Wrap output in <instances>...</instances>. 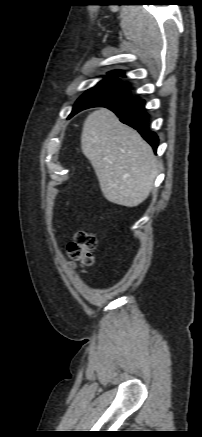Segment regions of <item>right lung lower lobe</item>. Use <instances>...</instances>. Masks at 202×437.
I'll return each mask as SVG.
<instances>
[{"label":"right lung lower lobe","mask_w":202,"mask_h":437,"mask_svg":"<svg viewBox=\"0 0 202 437\" xmlns=\"http://www.w3.org/2000/svg\"><path fill=\"white\" fill-rule=\"evenodd\" d=\"M144 100H123L115 104L103 105L112 110L120 118V120L129 126L138 130L142 137L157 150L158 137L149 130L148 115L145 112Z\"/></svg>","instance_id":"1"}]
</instances>
